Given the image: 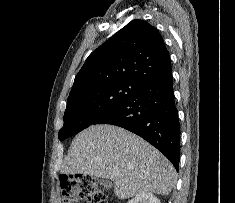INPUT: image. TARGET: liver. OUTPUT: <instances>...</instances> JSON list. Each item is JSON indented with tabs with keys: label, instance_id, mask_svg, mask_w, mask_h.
<instances>
[{
	"label": "liver",
	"instance_id": "1",
	"mask_svg": "<svg viewBox=\"0 0 235 203\" xmlns=\"http://www.w3.org/2000/svg\"><path fill=\"white\" fill-rule=\"evenodd\" d=\"M62 173L110 179L121 200L146 192L168 195L176 177L173 165L155 147L108 124L92 125L74 138Z\"/></svg>",
	"mask_w": 235,
	"mask_h": 203
}]
</instances>
